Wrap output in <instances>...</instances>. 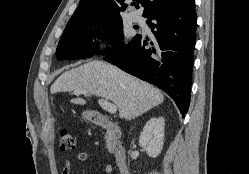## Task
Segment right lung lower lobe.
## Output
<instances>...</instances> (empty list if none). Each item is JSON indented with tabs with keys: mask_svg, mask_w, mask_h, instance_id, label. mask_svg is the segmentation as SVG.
<instances>
[{
	"mask_svg": "<svg viewBox=\"0 0 249 174\" xmlns=\"http://www.w3.org/2000/svg\"><path fill=\"white\" fill-rule=\"evenodd\" d=\"M146 22L155 36L151 48L140 35L132 44L104 58L122 70L167 92L181 114L190 103L197 14L195 0L159 10ZM153 20V22H151Z\"/></svg>",
	"mask_w": 249,
	"mask_h": 174,
	"instance_id": "1",
	"label": "right lung lower lobe"
}]
</instances>
